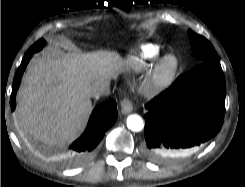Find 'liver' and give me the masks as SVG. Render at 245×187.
Segmentation results:
<instances>
[{
	"mask_svg": "<svg viewBox=\"0 0 245 187\" xmlns=\"http://www.w3.org/2000/svg\"><path fill=\"white\" fill-rule=\"evenodd\" d=\"M127 64L108 50L57 52L34 59L17 95L18 127L45 143L74 139L92 110L91 88L110 82Z\"/></svg>",
	"mask_w": 245,
	"mask_h": 187,
	"instance_id": "1",
	"label": "liver"
}]
</instances>
